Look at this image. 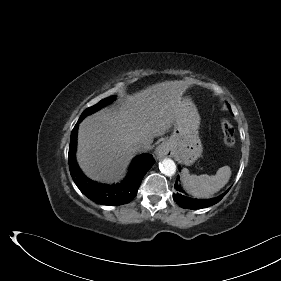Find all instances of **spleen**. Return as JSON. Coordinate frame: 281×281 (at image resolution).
Segmentation results:
<instances>
[{"label": "spleen", "instance_id": "1", "mask_svg": "<svg viewBox=\"0 0 281 281\" xmlns=\"http://www.w3.org/2000/svg\"><path fill=\"white\" fill-rule=\"evenodd\" d=\"M183 188L196 198H210L220 191L231 177L229 166H223L218 169L216 175L207 174L191 175L187 168L181 172Z\"/></svg>", "mask_w": 281, "mask_h": 281}]
</instances>
